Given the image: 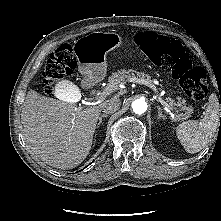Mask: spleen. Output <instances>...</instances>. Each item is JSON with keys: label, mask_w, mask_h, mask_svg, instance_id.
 Here are the masks:
<instances>
[{"label": "spleen", "mask_w": 221, "mask_h": 221, "mask_svg": "<svg viewBox=\"0 0 221 221\" xmlns=\"http://www.w3.org/2000/svg\"><path fill=\"white\" fill-rule=\"evenodd\" d=\"M219 126V102L215 94L209 97L205 116L200 121H185L178 125L176 134L184 149L188 153H197L202 150Z\"/></svg>", "instance_id": "3e777b00"}]
</instances>
